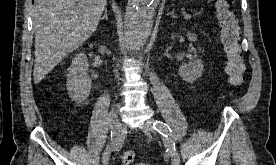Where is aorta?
<instances>
[{"instance_id":"762f6f07","label":"aorta","mask_w":276,"mask_h":165,"mask_svg":"<svg viewBox=\"0 0 276 165\" xmlns=\"http://www.w3.org/2000/svg\"><path fill=\"white\" fill-rule=\"evenodd\" d=\"M158 2L159 0H128L125 27L130 50H137L150 36Z\"/></svg>"}]
</instances>
